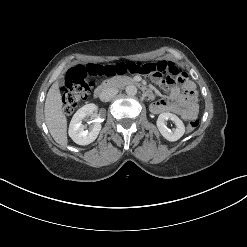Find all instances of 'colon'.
<instances>
[{
	"label": "colon",
	"mask_w": 247,
	"mask_h": 247,
	"mask_svg": "<svg viewBox=\"0 0 247 247\" xmlns=\"http://www.w3.org/2000/svg\"><path fill=\"white\" fill-rule=\"evenodd\" d=\"M141 62L127 61L116 64H87L77 65L68 70L62 87L63 110L71 114L88 96L94 84V77L115 76L126 74ZM199 120H192L186 125L188 132L194 131L199 126Z\"/></svg>",
	"instance_id": "1"
}]
</instances>
